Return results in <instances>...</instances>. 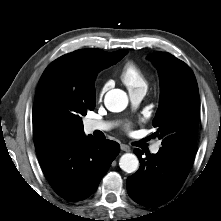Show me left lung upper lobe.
<instances>
[{"mask_svg": "<svg viewBox=\"0 0 221 221\" xmlns=\"http://www.w3.org/2000/svg\"><path fill=\"white\" fill-rule=\"evenodd\" d=\"M159 70L161 98L153 120L154 133L163 146L194 154L197 139L199 91L196 78L187 64L165 52L148 56Z\"/></svg>", "mask_w": 221, "mask_h": 221, "instance_id": "5c2ea615", "label": "left lung upper lobe"}]
</instances>
